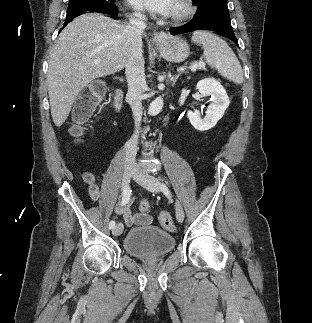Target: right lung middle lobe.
I'll list each match as a JSON object with an SVG mask.
<instances>
[{
  "instance_id": "right-lung-middle-lobe-1",
  "label": "right lung middle lobe",
  "mask_w": 312,
  "mask_h": 323,
  "mask_svg": "<svg viewBox=\"0 0 312 323\" xmlns=\"http://www.w3.org/2000/svg\"><path fill=\"white\" fill-rule=\"evenodd\" d=\"M109 8H114L113 0H69L66 17L85 10Z\"/></svg>"
}]
</instances>
